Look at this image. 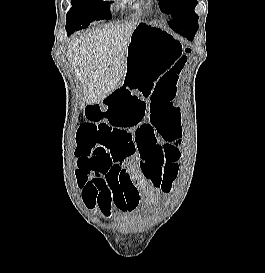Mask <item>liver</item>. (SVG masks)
I'll list each match as a JSON object with an SVG mask.
<instances>
[{"label": "liver", "instance_id": "1", "mask_svg": "<svg viewBox=\"0 0 265 273\" xmlns=\"http://www.w3.org/2000/svg\"><path fill=\"white\" fill-rule=\"evenodd\" d=\"M138 22L97 29L72 40L68 59L83 84L84 101L95 104L121 86L129 41Z\"/></svg>", "mask_w": 265, "mask_h": 273}]
</instances>
